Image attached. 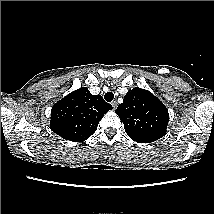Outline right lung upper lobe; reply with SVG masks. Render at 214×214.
<instances>
[{
    "instance_id": "obj_1",
    "label": "right lung upper lobe",
    "mask_w": 214,
    "mask_h": 214,
    "mask_svg": "<svg viewBox=\"0 0 214 214\" xmlns=\"http://www.w3.org/2000/svg\"><path fill=\"white\" fill-rule=\"evenodd\" d=\"M111 109L101 95H92L82 87L52 107L50 127L66 140L83 142L96 131L99 121Z\"/></svg>"
}]
</instances>
